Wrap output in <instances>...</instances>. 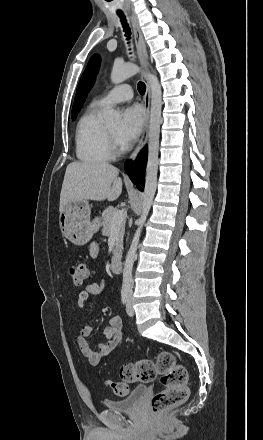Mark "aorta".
Listing matches in <instances>:
<instances>
[{"label": "aorta", "mask_w": 263, "mask_h": 440, "mask_svg": "<svg viewBox=\"0 0 263 440\" xmlns=\"http://www.w3.org/2000/svg\"><path fill=\"white\" fill-rule=\"evenodd\" d=\"M140 72V68L132 63L118 64L115 63L111 72V81L119 84L126 79ZM151 90V108L149 122V139H148V160L146 166L145 187L142 201V212L138 219V228L132 239L130 248L126 255L123 268V285H130L132 281V269L138 248L139 238L142 228L145 224L147 216L152 206L157 188L158 173V155H159V138L161 125V109H162V90L158 78L151 73H144ZM104 119L108 123H117L120 120L119 113L114 109H108L103 113Z\"/></svg>", "instance_id": "obj_1"}]
</instances>
